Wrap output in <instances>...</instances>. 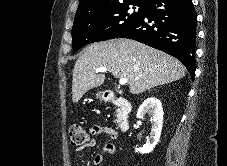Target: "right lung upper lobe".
<instances>
[{
	"label": "right lung upper lobe",
	"mask_w": 227,
	"mask_h": 166,
	"mask_svg": "<svg viewBox=\"0 0 227 166\" xmlns=\"http://www.w3.org/2000/svg\"><path fill=\"white\" fill-rule=\"evenodd\" d=\"M151 0H80L76 13L105 9L123 4L146 5Z\"/></svg>",
	"instance_id": "obj_1"
}]
</instances>
